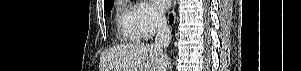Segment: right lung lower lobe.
<instances>
[{
	"instance_id": "1",
	"label": "right lung lower lobe",
	"mask_w": 301,
	"mask_h": 71,
	"mask_svg": "<svg viewBox=\"0 0 301 71\" xmlns=\"http://www.w3.org/2000/svg\"><path fill=\"white\" fill-rule=\"evenodd\" d=\"M172 21H173V18H172V16L170 15L169 23L172 24Z\"/></svg>"
}]
</instances>
